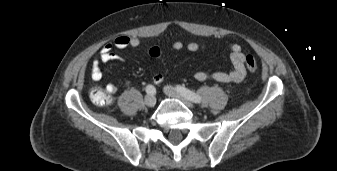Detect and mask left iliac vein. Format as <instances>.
Segmentation results:
<instances>
[{
  "instance_id": "obj_1",
  "label": "left iliac vein",
  "mask_w": 337,
  "mask_h": 171,
  "mask_svg": "<svg viewBox=\"0 0 337 171\" xmlns=\"http://www.w3.org/2000/svg\"><path fill=\"white\" fill-rule=\"evenodd\" d=\"M164 92L167 96L171 98H176L180 100L182 103H184L187 107L189 108H194V105L191 101H189L186 97H184L182 94H180L175 88L172 86H165L164 87Z\"/></svg>"
}]
</instances>
